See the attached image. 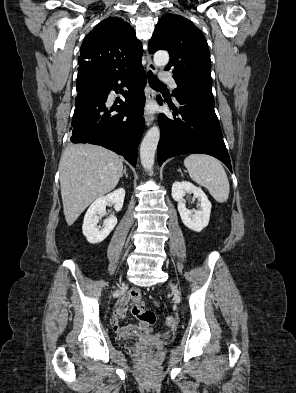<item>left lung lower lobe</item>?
Wrapping results in <instances>:
<instances>
[{
  "instance_id": "1",
  "label": "left lung lower lobe",
  "mask_w": 296,
  "mask_h": 393,
  "mask_svg": "<svg viewBox=\"0 0 296 393\" xmlns=\"http://www.w3.org/2000/svg\"><path fill=\"white\" fill-rule=\"evenodd\" d=\"M179 109L170 107L174 119L159 114L161 138L157 148L159 165L170 157L204 153L221 160L232 172L227 148L214 110L213 94L187 92L176 97ZM163 103L160 96L157 97ZM179 114L180 118H176Z\"/></svg>"
}]
</instances>
